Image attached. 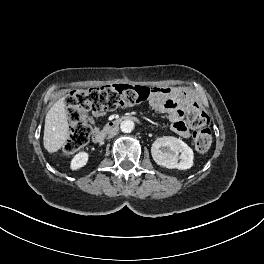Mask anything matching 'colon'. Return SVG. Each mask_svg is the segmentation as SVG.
Wrapping results in <instances>:
<instances>
[{
    "instance_id": "colon-1",
    "label": "colon",
    "mask_w": 264,
    "mask_h": 264,
    "mask_svg": "<svg viewBox=\"0 0 264 264\" xmlns=\"http://www.w3.org/2000/svg\"><path fill=\"white\" fill-rule=\"evenodd\" d=\"M152 89L145 86L115 84L71 91L66 97V106L70 120L69 137L64 145L66 154H73L85 146L92 132L86 120L88 111L104 112L119 107H131L150 98ZM186 119L194 129L193 142L199 152H205L211 145L212 136L209 118L201 108L191 103L187 107Z\"/></svg>"
}]
</instances>
